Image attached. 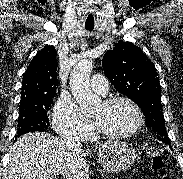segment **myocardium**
Instances as JSON below:
<instances>
[{
	"label": "myocardium",
	"instance_id": "myocardium-1",
	"mask_svg": "<svg viewBox=\"0 0 183 179\" xmlns=\"http://www.w3.org/2000/svg\"><path fill=\"white\" fill-rule=\"evenodd\" d=\"M118 102H126V103L130 104L137 114L138 122L132 130L123 132V133H110V132L102 130L97 125L96 129H97L98 133L100 135L110 138V139H124V138H128V137H132V136L136 135L138 132H140L145 125L144 112H143L142 108L140 107V105L132 98H130L128 96H113V97L106 98L103 101V104L106 106H110V105L116 104Z\"/></svg>",
	"mask_w": 183,
	"mask_h": 179
}]
</instances>
